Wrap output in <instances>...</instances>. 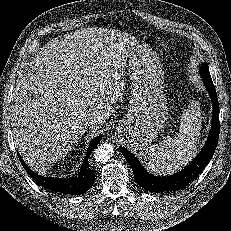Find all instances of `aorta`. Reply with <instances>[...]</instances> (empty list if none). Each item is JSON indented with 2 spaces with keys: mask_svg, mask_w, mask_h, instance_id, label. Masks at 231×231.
<instances>
[{
  "mask_svg": "<svg viewBox=\"0 0 231 231\" xmlns=\"http://www.w3.org/2000/svg\"><path fill=\"white\" fill-rule=\"evenodd\" d=\"M114 154V147L111 144L104 143L97 146L94 150V159L99 163L108 162Z\"/></svg>",
  "mask_w": 231,
  "mask_h": 231,
  "instance_id": "aorta-1",
  "label": "aorta"
}]
</instances>
